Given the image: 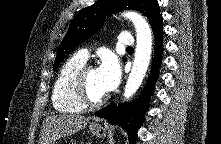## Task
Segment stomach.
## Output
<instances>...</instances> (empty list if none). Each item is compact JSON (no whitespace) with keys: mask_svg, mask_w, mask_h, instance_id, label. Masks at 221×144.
<instances>
[{"mask_svg":"<svg viewBox=\"0 0 221 144\" xmlns=\"http://www.w3.org/2000/svg\"><path fill=\"white\" fill-rule=\"evenodd\" d=\"M89 130L94 136L98 138H103L108 133V127L103 126L102 124L97 123V122L91 123L89 125Z\"/></svg>","mask_w":221,"mask_h":144,"instance_id":"0dacf381","label":"stomach"}]
</instances>
